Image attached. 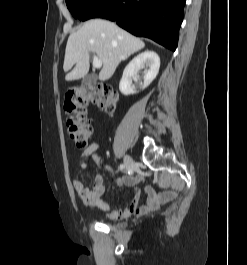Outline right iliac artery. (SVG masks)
<instances>
[{
  "label": "right iliac artery",
  "instance_id": "1",
  "mask_svg": "<svg viewBox=\"0 0 247 265\" xmlns=\"http://www.w3.org/2000/svg\"><path fill=\"white\" fill-rule=\"evenodd\" d=\"M119 169H120V170H123V169H124V165L121 164V165L119 166Z\"/></svg>",
  "mask_w": 247,
  "mask_h": 265
}]
</instances>
